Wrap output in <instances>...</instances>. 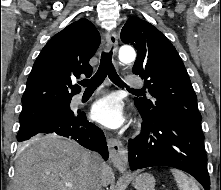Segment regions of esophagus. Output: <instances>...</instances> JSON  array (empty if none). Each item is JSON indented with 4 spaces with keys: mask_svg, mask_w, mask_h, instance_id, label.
<instances>
[{
    "mask_svg": "<svg viewBox=\"0 0 221 190\" xmlns=\"http://www.w3.org/2000/svg\"><path fill=\"white\" fill-rule=\"evenodd\" d=\"M106 43L108 50L112 49L113 53L116 54L118 50V35L115 31L106 34ZM107 143L110 160L120 171H125L128 164V157L123 143L112 137H108Z\"/></svg>",
    "mask_w": 221,
    "mask_h": 190,
    "instance_id": "34e87169",
    "label": "esophagus"
}]
</instances>
